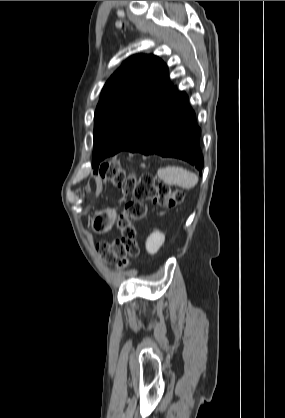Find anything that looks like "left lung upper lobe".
Segmentation results:
<instances>
[{"mask_svg":"<svg viewBox=\"0 0 285 418\" xmlns=\"http://www.w3.org/2000/svg\"><path fill=\"white\" fill-rule=\"evenodd\" d=\"M168 68L154 55H134L105 83L94 116L92 167L123 150L172 89Z\"/></svg>","mask_w":285,"mask_h":418,"instance_id":"1","label":"left lung upper lobe"}]
</instances>
